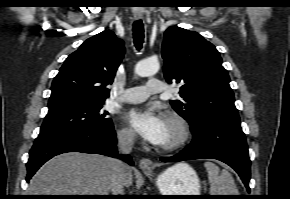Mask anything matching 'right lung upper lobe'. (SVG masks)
<instances>
[{"label": "right lung upper lobe", "mask_w": 290, "mask_h": 199, "mask_svg": "<svg viewBox=\"0 0 290 199\" xmlns=\"http://www.w3.org/2000/svg\"><path fill=\"white\" fill-rule=\"evenodd\" d=\"M124 42L112 31L87 39L64 61L51 86L48 113L104 102L124 56Z\"/></svg>", "instance_id": "right-lung-upper-lobe-1"}]
</instances>
